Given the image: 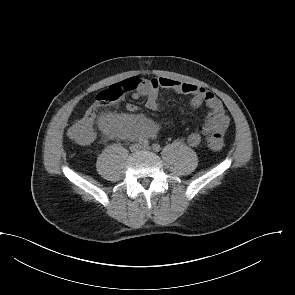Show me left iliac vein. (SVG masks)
<instances>
[{
  "label": "left iliac vein",
  "instance_id": "obj_1",
  "mask_svg": "<svg viewBox=\"0 0 295 295\" xmlns=\"http://www.w3.org/2000/svg\"><path fill=\"white\" fill-rule=\"evenodd\" d=\"M142 151H147V152H149V151H151V147H150V146L143 147V148H142Z\"/></svg>",
  "mask_w": 295,
  "mask_h": 295
}]
</instances>
